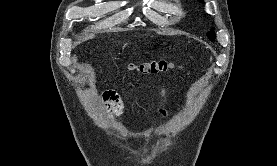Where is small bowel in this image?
<instances>
[{
    "label": "small bowel",
    "mask_w": 277,
    "mask_h": 166,
    "mask_svg": "<svg viewBox=\"0 0 277 166\" xmlns=\"http://www.w3.org/2000/svg\"><path fill=\"white\" fill-rule=\"evenodd\" d=\"M103 101L105 102L108 110H110L111 113L118 116L121 114L123 105L121 100L119 99V96L113 92V91H106L103 93L102 96ZM160 113L165 116V111L160 110Z\"/></svg>",
    "instance_id": "obj_1"
}]
</instances>
